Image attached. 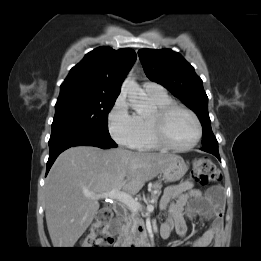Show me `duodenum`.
I'll list each match as a JSON object with an SVG mask.
<instances>
[{"label":"duodenum","mask_w":261,"mask_h":261,"mask_svg":"<svg viewBox=\"0 0 261 261\" xmlns=\"http://www.w3.org/2000/svg\"><path fill=\"white\" fill-rule=\"evenodd\" d=\"M120 217L123 216L124 210L122 208H118ZM121 228V219H115L113 221H110V223L107 225L105 234H107V243L114 244L115 238L114 235H116ZM149 242V238L145 232H140L136 236L132 238L131 245H147Z\"/></svg>","instance_id":"410a0bca"}]
</instances>
